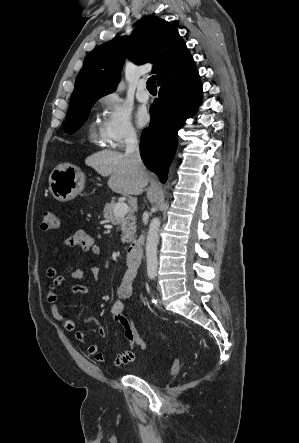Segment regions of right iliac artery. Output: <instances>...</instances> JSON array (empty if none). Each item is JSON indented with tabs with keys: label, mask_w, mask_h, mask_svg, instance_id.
Wrapping results in <instances>:
<instances>
[{
	"label": "right iliac artery",
	"mask_w": 299,
	"mask_h": 443,
	"mask_svg": "<svg viewBox=\"0 0 299 443\" xmlns=\"http://www.w3.org/2000/svg\"><path fill=\"white\" fill-rule=\"evenodd\" d=\"M155 277H156V273L155 272L149 273V278L150 279H155Z\"/></svg>",
	"instance_id": "82829eb1"
}]
</instances>
